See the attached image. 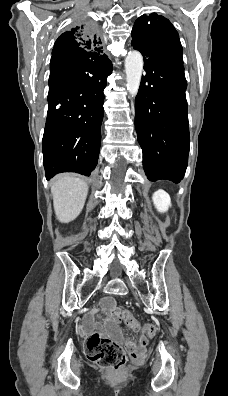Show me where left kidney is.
Returning <instances> with one entry per match:
<instances>
[{
  "instance_id": "left-kidney-1",
  "label": "left kidney",
  "mask_w": 228,
  "mask_h": 396,
  "mask_svg": "<svg viewBox=\"0 0 228 396\" xmlns=\"http://www.w3.org/2000/svg\"><path fill=\"white\" fill-rule=\"evenodd\" d=\"M152 199L159 212H166L171 206L170 196L164 190L154 192Z\"/></svg>"
}]
</instances>
